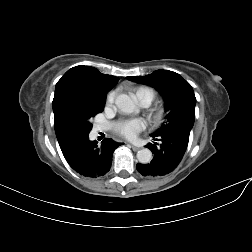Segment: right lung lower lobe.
<instances>
[{
	"instance_id": "obj_1",
	"label": "right lung lower lobe",
	"mask_w": 252,
	"mask_h": 252,
	"mask_svg": "<svg viewBox=\"0 0 252 252\" xmlns=\"http://www.w3.org/2000/svg\"><path fill=\"white\" fill-rule=\"evenodd\" d=\"M89 134L70 135L59 143L68 164L85 177L104 176L111 168L112 154L121 145L104 139L101 145L89 140Z\"/></svg>"
}]
</instances>
